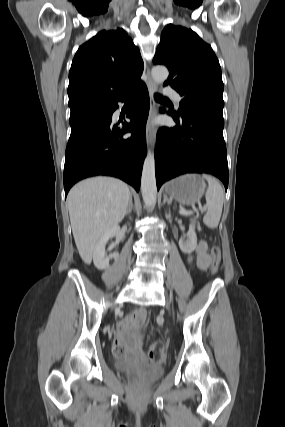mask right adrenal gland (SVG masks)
<instances>
[{
    "instance_id": "1",
    "label": "right adrenal gland",
    "mask_w": 285,
    "mask_h": 427,
    "mask_svg": "<svg viewBox=\"0 0 285 427\" xmlns=\"http://www.w3.org/2000/svg\"><path fill=\"white\" fill-rule=\"evenodd\" d=\"M133 208V201H132V195L130 194V198H129V204L126 210V215L130 214Z\"/></svg>"
}]
</instances>
